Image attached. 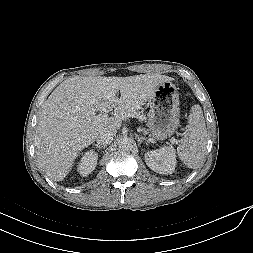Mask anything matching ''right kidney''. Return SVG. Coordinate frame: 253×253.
Instances as JSON below:
<instances>
[{
    "mask_svg": "<svg viewBox=\"0 0 253 253\" xmlns=\"http://www.w3.org/2000/svg\"><path fill=\"white\" fill-rule=\"evenodd\" d=\"M97 160L98 154L95 151L85 152L77 165V171L83 177L89 175L95 169Z\"/></svg>",
    "mask_w": 253,
    "mask_h": 253,
    "instance_id": "obj_1",
    "label": "right kidney"
}]
</instances>
